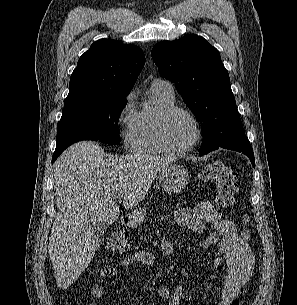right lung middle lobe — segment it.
<instances>
[{
	"mask_svg": "<svg viewBox=\"0 0 297 305\" xmlns=\"http://www.w3.org/2000/svg\"><path fill=\"white\" fill-rule=\"evenodd\" d=\"M126 97L92 98L64 103L57 130L56 149H66L82 140L119 144L118 121Z\"/></svg>",
	"mask_w": 297,
	"mask_h": 305,
	"instance_id": "dd1d6c3e",
	"label": "right lung middle lobe"
}]
</instances>
